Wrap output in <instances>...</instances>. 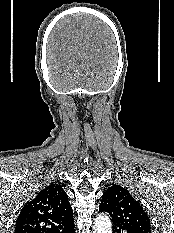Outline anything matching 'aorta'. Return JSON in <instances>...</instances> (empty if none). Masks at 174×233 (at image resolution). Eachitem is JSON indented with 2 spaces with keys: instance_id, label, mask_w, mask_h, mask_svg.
<instances>
[{
  "instance_id": "aorta-1",
  "label": "aorta",
  "mask_w": 174,
  "mask_h": 233,
  "mask_svg": "<svg viewBox=\"0 0 174 233\" xmlns=\"http://www.w3.org/2000/svg\"><path fill=\"white\" fill-rule=\"evenodd\" d=\"M93 233H112V223L110 218L104 214H99L93 225Z\"/></svg>"
}]
</instances>
